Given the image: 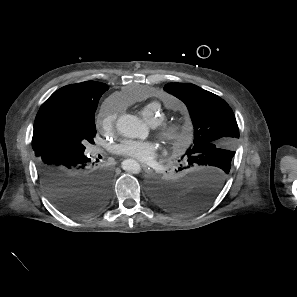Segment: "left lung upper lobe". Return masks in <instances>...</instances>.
Wrapping results in <instances>:
<instances>
[{
	"label": "left lung upper lobe",
	"instance_id": "1",
	"mask_svg": "<svg viewBox=\"0 0 297 297\" xmlns=\"http://www.w3.org/2000/svg\"><path fill=\"white\" fill-rule=\"evenodd\" d=\"M164 89L186 104L192 118L194 141L185 154L188 164L215 163L228 173L239 138L236 118L229 105L194 84L168 83Z\"/></svg>",
	"mask_w": 297,
	"mask_h": 297
}]
</instances>
